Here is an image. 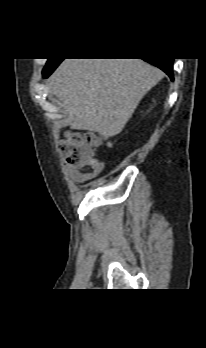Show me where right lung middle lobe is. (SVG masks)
Masks as SVG:
<instances>
[{
  "instance_id": "right-lung-middle-lobe-1",
  "label": "right lung middle lobe",
  "mask_w": 206,
  "mask_h": 348,
  "mask_svg": "<svg viewBox=\"0 0 206 348\" xmlns=\"http://www.w3.org/2000/svg\"><path fill=\"white\" fill-rule=\"evenodd\" d=\"M58 60L61 61L62 59H48V61H47V63H46V66H45L44 69L49 68V67H51V66L57 64Z\"/></svg>"
}]
</instances>
